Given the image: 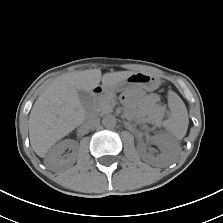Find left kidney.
<instances>
[{
    "label": "left kidney",
    "mask_w": 223,
    "mask_h": 223,
    "mask_svg": "<svg viewBox=\"0 0 223 223\" xmlns=\"http://www.w3.org/2000/svg\"><path fill=\"white\" fill-rule=\"evenodd\" d=\"M153 142L159 144L161 153L155 156L153 153H148L144 145H140L139 150L143 161L157 166H169L176 162L180 153L177 142L163 135L154 136Z\"/></svg>",
    "instance_id": "1"
}]
</instances>
